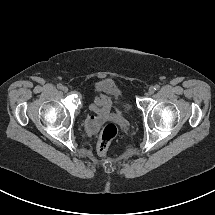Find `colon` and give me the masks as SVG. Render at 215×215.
<instances>
[{"mask_svg": "<svg viewBox=\"0 0 215 215\" xmlns=\"http://www.w3.org/2000/svg\"><path fill=\"white\" fill-rule=\"evenodd\" d=\"M118 132V126L113 122H108L102 126L97 144V152L100 156L106 154L111 142L118 135Z\"/></svg>", "mask_w": 215, "mask_h": 215, "instance_id": "colon-1", "label": "colon"}]
</instances>
